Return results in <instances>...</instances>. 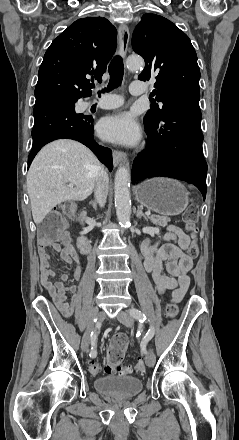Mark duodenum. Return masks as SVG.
I'll use <instances>...</instances> for the list:
<instances>
[{"mask_svg":"<svg viewBox=\"0 0 239 440\" xmlns=\"http://www.w3.org/2000/svg\"><path fill=\"white\" fill-rule=\"evenodd\" d=\"M87 217L86 211H82L79 217L80 225L83 226L85 224V220ZM78 247L83 254H89L91 251V242L87 235L82 234L78 238Z\"/></svg>","mask_w":239,"mask_h":440,"instance_id":"obj_1","label":"duodenum"}]
</instances>
